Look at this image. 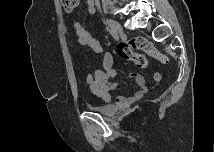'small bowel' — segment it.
<instances>
[{"label": "small bowel", "mask_w": 215, "mask_h": 152, "mask_svg": "<svg viewBox=\"0 0 215 152\" xmlns=\"http://www.w3.org/2000/svg\"><path fill=\"white\" fill-rule=\"evenodd\" d=\"M89 12L95 11L93 1H88ZM78 45L91 48L96 53H102L103 47L98 39L88 32L80 22L75 21L73 24ZM115 59L110 52H106L103 57L102 69L95 71L94 75L87 74L85 77L86 83L89 85L92 92L102 100L109 102L111 100V91L115 90L118 84L112 81L117 75V71L114 68ZM129 76L134 80L138 87V90L131 96L119 95L116 98L118 105L132 103L141 99L149 90V87L145 85V79L141 74L131 72ZM162 76L159 73L153 75V83L151 88H156L161 84Z\"/></svg>", "instance_id": "obj_1"}]
</instances>
